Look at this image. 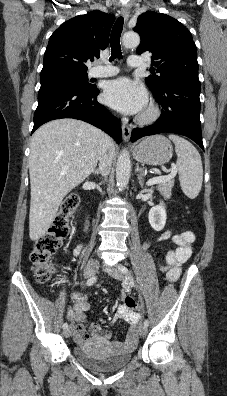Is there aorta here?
<instances>
[{
  "mask_svg": "<svg viewBox=\"0 0 227 396\" xmlns=\"http://www.w3.org/2000/svg\"><path fill=\"white\" fill-rule=\"evenodd\" d=\"M123 45L127 48L137 47L140 43V37L135 32H127L122 38ZM131 163L130 155L127 150H123L118 157L116 165V181L119 190L127 187L130 178Z\"/></svg>",
  "mask_w": 227,
  "mask_h": 396,
  "instance_id": "762f6f07",
  "label": "aorta"
}]
</instances>
